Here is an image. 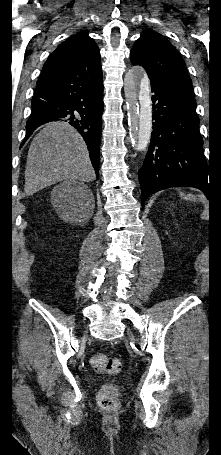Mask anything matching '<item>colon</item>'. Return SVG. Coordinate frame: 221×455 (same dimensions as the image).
I'll list each match as a JSON object with an SVG mask.
<instances>
[{"mask_svg": "<svg viewBox=\"0 0 221 455\" xmlns=\"http://www.w3.org/2000/svg\"><path fill=\"white\" fill-rule=\"evenodd\" d=\"M91 367L102 373L110 375L117 374L120 370L121 363L117 358L109 357L104 354H95L90 359ZM99 406L107 411L115 410L119 405V389L115 384H105L98 393Z\"/></svg>", "mask_w": 221, "mask_h": 455, "instance_id": "1", "label": "colon"}]
</instances>
